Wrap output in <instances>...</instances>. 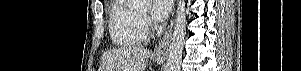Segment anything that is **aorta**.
<instances>
[{
  "instance_id": "obj_1",
  "label": "aorta",
  "mask_w": 301,
  "mask_h": 71,
  "mask_svg": "<svg viewBox=\"0 0 301 71\" xmlns=\"http://www.w3.org/2000/svg\"><path fill=\"white\" fill-rule=\"evenodd\" d=\"M136 7L145 6L148 0H131ZM186 35L185 0H178L174 32L171 38L166 71H180Z\"/></svg>"
}]
</instances>
